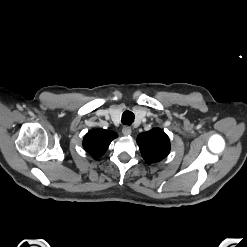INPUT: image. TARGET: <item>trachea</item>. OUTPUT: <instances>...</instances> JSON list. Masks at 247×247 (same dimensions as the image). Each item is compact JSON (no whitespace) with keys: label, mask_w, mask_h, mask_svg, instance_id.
Instances as JSON below:
<instances>
[{"label":"trachea","mask_w":247,"mask_h":247,"mask_svg":"<svg viewBox=\"0 0 247 247\" xmlns=\"http://www.w3.org/2000/svg\"><path fill=\"white\" fill-rule=\"evenodd\" d=\"M134 118H135L134 113L127 110L122 114V120L121 121L123 124L130 125L134 121Z\"/></svg>","instance_id":"obj_1"}]
</instances>
